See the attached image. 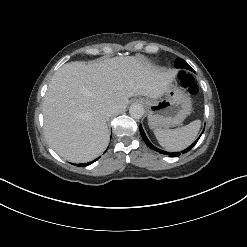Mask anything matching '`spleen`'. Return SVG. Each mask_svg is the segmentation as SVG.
Here are the masks:
<instances>
[{
  "label": "spleen",
  "instance_id": "1",
  "mask_svg": "<svg viewBox=\"0 0 247 247\" xmlns=\"http://www.w3.org/2000/svg\"><path fill=\"white\" fill-rule=\"evenodd\" d=\"M201 121L195 120L190 124L174 130L156 129L154 134L159 144L168 151H180L191 145L200 130Z\"/></svg>",
  "mask_w": 247,
  "mask_h": 247
}]
</instances>
